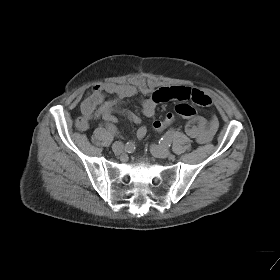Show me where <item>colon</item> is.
Masks as SVG:
<instances>
[{"label": "colon", "instance_id": "1", "mask_svg": "<svg viewBox=\"0 0 280 280\" xmlns=\"http://www.w3.org/2000/svg\"><path fill=\"white\" fill-rule=\"evenodd\" d=\"M175 113L176 114H168L164 119L162 120H157L153 123V127L156 131H161L171 125L175 119L176 115L184 117V118H191L196 114L195 109L186 103H182L176 106L175 108ZM86 125L85 120L81 117L77 120V126L78 128H83Z\"/></svg>", "mask_w": 280, "mask_h": 280}]
</instances>
